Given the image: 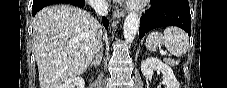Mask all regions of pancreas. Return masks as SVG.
Wrapping results in <instances>:
<instances>
[{
    "mask_svg": "<svg viewBox=\"0 0 227 88\" xmlns=\"http://www.w3.org/2000/svg\"><path fill=\"white\" fill-rule=\"evenodd\" d=\"M167 62H168L170 65H172V66L175 65V62H174L173 60H171V59H168Z\"/></svg>",
    "mask_w": 227,
    "mask_h": 88,
    "instance_id": "obj_1",
    "label": "pancreas"
}]
</instances>
